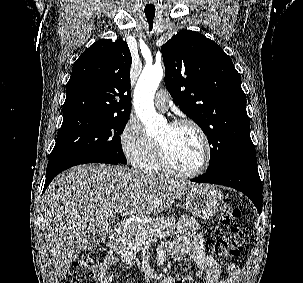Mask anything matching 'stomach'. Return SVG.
Instances as JSON below:
<instances>
[{
    "label": "stomach",
    "instance_id": "0dacf381",
    "mask_svg": "<svg viewBox=\"0 0 303 283\" xmlns=\"http://www.w3.org/2000/svg\"><path fill=\"white\" fill-rule=\"evenodd\" d=\"M221 192L208 185L190 188L186 193V208L195 217L210 219L218 211Z\"/></svg>",
    "mask_w": 303,
    "mask_h": 283
}]
</instances>
